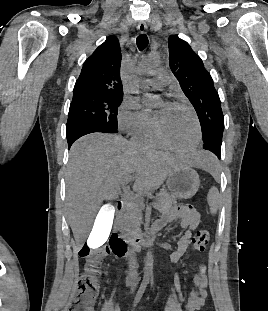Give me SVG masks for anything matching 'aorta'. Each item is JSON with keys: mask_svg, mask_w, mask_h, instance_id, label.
Listing matches in <instances>:
<instances>
[{"mask_svg": "<svg viewBox=\"0 0 268 311\" xmlns=\"http://www.w3.org/2000/svg\"><path fill=\"white\" fill-rule=\"evenodd\" d=\"M159 64H160L159 58L146 57L138 64L137 70L139 73H142V74H150L159 66ZM157 100L158 99L155 96L151 98V101L153 102ZM153 263H154L153 255H152V252L149 251L147 252L146 259H145V265H144V270L147 275L152 272Z\"/></svg>", "mask_w": 268, "mask_h": 311, "instance_id": "obj_1", "label": "aorta"}]
</instances>
